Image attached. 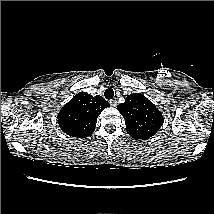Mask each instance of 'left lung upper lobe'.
Segmentation results:
<instances>
[{
  "mask_svg": "<svg viewBox=\"0 0 214 214\" xmlns=\"http://www.w3.org/2000/svg\"><path fill=\"white\" fill-rule=\"evenodd\" d=\"M117 109L125 119L128 134L134 139H149L164 121L158 108L141 93L128 95Z\"/></svg>",
  "mask_w": 214,
  "mask_h": 214,
  "instance_id": "left-lung-upper-lobe-1",
  "label": "left lung upper lobe"
}]
</instances>
